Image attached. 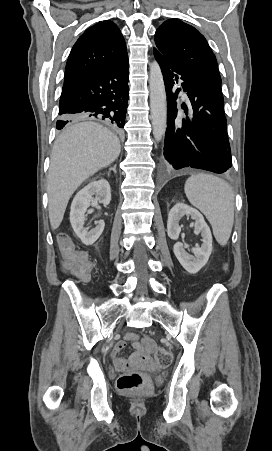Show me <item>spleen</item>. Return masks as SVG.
<instances>
[{"label": "spleen", "instance_id": "spleen-1", "mask_svg": "<svg viewBox=\"0 0 272 451\" xmlns=\"http://www.w3.org/2000/svg\"><path fill=\"white\" fill-rule=\"evenodd\" d=\"M192 206L198 208L208 222L220 245H226L234 224V194L231 186L209 174H193L184 186Z\"/></svg>", "mask_w": 272, "mask_h": 451}]
</instances>
